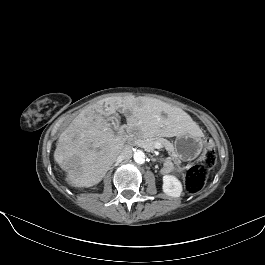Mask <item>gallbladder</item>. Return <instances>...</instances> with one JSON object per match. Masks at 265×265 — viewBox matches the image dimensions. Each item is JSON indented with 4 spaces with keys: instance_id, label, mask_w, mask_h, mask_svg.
Masks as SVG:
<instances>
[{
    "instance_id": "obj_1",
    "label": "gallbladder",
    "mask_w": 265,
    "mask_h": 265,
    "mask_svg": "<svg viewBox=\"0 0 265 265\" xmlns=\"http://www.w3.org/2000/svg\"><path fill=\"white\" fill-rule=\"evenodd\" d=\"M119 118L120 117L117 114L111 117V122L115 131H117L119 127Z\"/></svg>"
}]
</instances>
